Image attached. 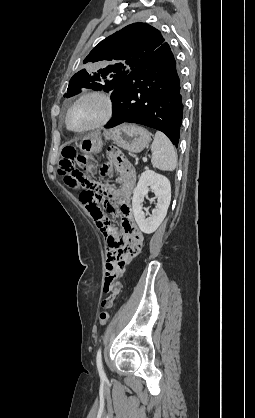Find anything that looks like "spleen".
Returning a JSON list of instances; mask_svg holds the SVG:
<instances>
[{
	"label": "spleen",
	"instance_id": "spleen-1",
	"mask_svg": "<svg viewBox=\"0 0 255 418\" xmlns=\"http://www.w3.org/2000/svg\"><path fill=\"white\" fill-rule=\"evenodd\" d=\"M151 162L157 169L163 171H174L177 166V154L168 137L157 131L151 145Z\"/></svg>",
	"mask_w": 255,
	"mask_h": 418
}]
</instances>
